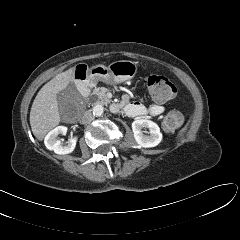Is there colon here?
Returning a JSON list of instances; mask_svg holds the SVG:
<instances>
[{"label": "colon", "instance_id": "colon-1", "mask_svg": "<svg viewBox=\"0 0 240 240\" xmlns=\"http://www.w3.org/2000/svg\"><path fill=\"white\" fill-rule=\"evenodd\" d=\"M144 84L150 97L163 103L173 99L176 95V87L166 77L150 75L144 79ZM183 123V115L176 110H170L163 120V129L167 132L176 130Z\"/></svg>", "mask_w": 240, "mask_h": 240}]
</instances>
